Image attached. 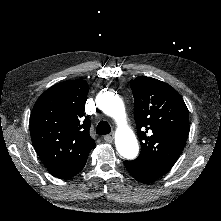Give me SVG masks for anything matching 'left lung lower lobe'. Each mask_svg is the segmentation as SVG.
<instances>
[{
	"label": "left lung lower lobe",
	"mask_w": 221,
	"mask_h": 221,
	"mask_svg": "<svg viewBox=\"0 0 221 221\" xmlns=\"http://www.w3.org/2000/svg\"><path fill=\"white\" fill-rule=\"evenodd\" d=\"M124 165L129 173L140 182L150 183L159 178L154 174L148 172L143 166L136 163L135 161H125Z\"/></svg>",
	"instance_id": "1"
}]
</instances>
